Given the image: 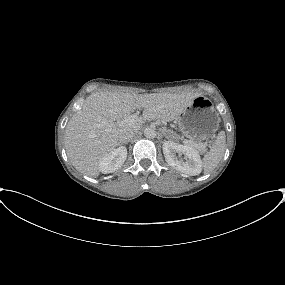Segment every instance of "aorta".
Segmentation results:
<instances>
[{
    "mask_svg": "<svg viewBox=\"0 0 285 285\" xmlns=\"http://www.w3.org/2000/svg\"><path fill=\"white\" fill-rule=\"evenodd\" d=\"M157 135L156 128L153 126H148L144 130V136L146 138H155Z\"/></svg>",
    "mask_w": 285,
    "mask_h": 285,
    "instance_id": "1",
    "label": "aorta"
}]
</instances>
